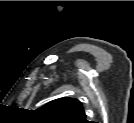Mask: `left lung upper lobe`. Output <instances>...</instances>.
<instances>
[{"label":"left lung upper lobe","mask_w":134,"mask_h":123,"mask_svg":"<svg viewBox=\"0 0 134 123\" xmlns=\"http://www.w3.org/2000/svg\"><path fill=\"white\" fill-rule=\"evenodd\" d=\"M39 113L46 118L63 123H86L82 104L75 98H59L40 107Z\"/></svg>","instance_id":"5c2ea615"}]
</instances>
